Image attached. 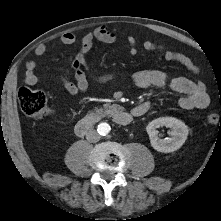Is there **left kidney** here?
Wrapping results in <instances>:
<instances>
[{
	"mask_svg": "<svg viewBox=\"0 0 221 221\" xmlns=\"http://www.w3.org/2000/svg\"><path fill=\"white\" fill-rule=\"evenodd\" d=\"M171 128V137L160 139L157 128ZM150 138L151 146L162 153H170L178 150L186 141L188 136V126L184 122L174 117H160L151 121L146 127Z\"/></svg>",
	"mask_w": 221,
	"mask_h": 221,
	"instance_id": "obj_1",
	"label": "left kidney"
}]
</instances>
